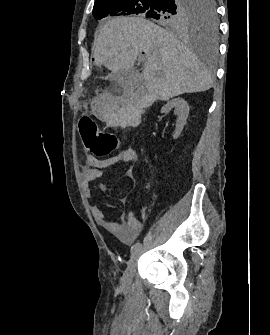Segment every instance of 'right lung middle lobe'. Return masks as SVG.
<instances>
[{
  "label": "right lung middle lobe",
  "mask_w": 270,
  "mask_h": 335,
  "mask_svg": "<svg viewBox=\"0 0 270 335\" xmlns=\"http://www.w3.org/2000/svg\"><path fill=\"white\" fill-rule=\"evenodd\" d=\"M137 14L175 30H205L211 39L217 33L214 0H98L93 8L97 20Z\"/></svg>",
  "instance_id": "right-lung-middle-lobe-1"
}]
</instances>
